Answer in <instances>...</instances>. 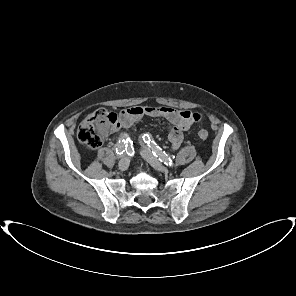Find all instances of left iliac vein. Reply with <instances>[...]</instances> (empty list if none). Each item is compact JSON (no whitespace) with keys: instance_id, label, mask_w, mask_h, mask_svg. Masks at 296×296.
Listing matches in <instances>:
<instances>
[{"instance_id":"left-iliac-vein-1","label":"left iliac vein","mask_w":296,"mask_h":296,"mask_svg":"<svg viewBox=\"0 0 296 296\" xmlns=\"http://www.w3.org/2000/svg\"><path fill=\"white\" fill-rule=\"evenodd\" d=\"M142 157L151 164L153 168L161 172H167L168 169L147 149L143 148L141 150Z\"/></svg>"}]
</instances>
